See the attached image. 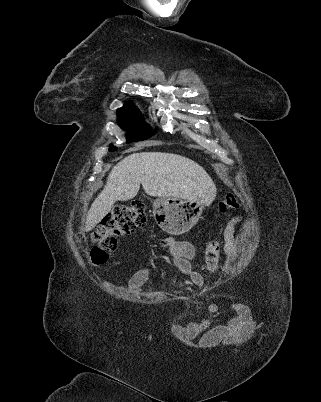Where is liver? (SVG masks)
I'll return each instance as SVG.
<instances>
[{
	"label": "liver",
	"instance_id": "6515ba94",
	"mask_svg": "<svg viewBox=\"0 0 321 402\" xmlns=\"http://www.w3.org/2000/svg\"><path fill=\"white\" fill-rule=\"evenodd\" d=\"M141 184L150 196L201 199L205 205L216 196L213 180L195 161L172 153H132L112 168L87 213L85 231L95 228L116 201L133 199Z\"/></svg>",
	"mask_w": 321,
	"mask_h": 402
}]
</instances>
